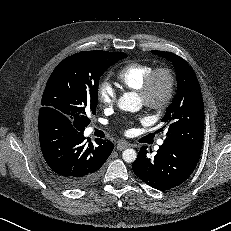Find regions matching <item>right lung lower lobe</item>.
<instances>
[{"label": "right lung lower lobe", "mask_w": 231, "mask_h": 231, "mask_svg": "<svg viewBox=\"0 0 231 231\" xmlns=\"http://www.w3.org/2000/svg\"><path fill=\"white\" fill-rule=\"evenodd\" d=\"M39 141L55 179L67 188H84L101 174L102 165L114 149L110 141L85 140L83 131L49 107L39 111Z\"/></svg>", "instance_id": "98d812e1"}]
</instances>
